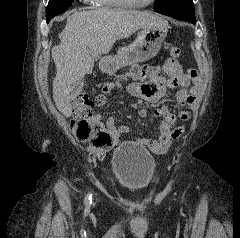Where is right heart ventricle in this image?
Masks as SVG:
<instances>
[{
  "mask_svg": "<svg viewBox=\"0 0 240 238\" xmlns=\"http://www.w3.org/2000/svg\"><path fill=\"white\" fill-rule=\"evenodd\" d=\"M96 4L102 7H120L116 0H97ZM122 7V6H121Z\"/></svg>",
  "mask_w": 240,
  "mask_h": 238,
  "instance_id": "obj_1",
  "label": "right heart ventricle"
}]
</instances>
